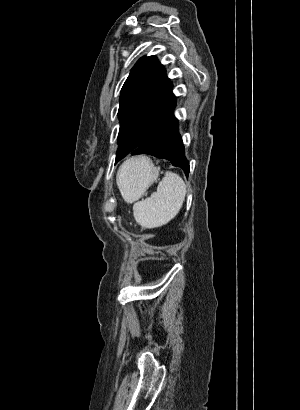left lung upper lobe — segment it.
Listing matches in <instances>:
<instances>
[{
	"label": "left lung upper lobe",
	"instance_id": "5c2ea615",
	"mask_svg": "<svg viewBox=\"0 0 300 410\" xmlns=\"http://www.w3.org/2000/svg\"><path fill=\"white\" fill-rule=\"evenodd\" d=\"M175 105L165 68L155 56L139 59L121 90L116 162L141 147Z\"/></svg>",
	"mask_w": 300,
	"mask_h": 410
}]
</instances>
